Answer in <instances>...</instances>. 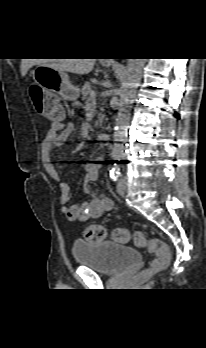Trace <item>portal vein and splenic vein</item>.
<instances>
[{
  "instance_id": "portal-vein-and-splenic-vein-1",
  "label": "portal vein and splenic vein",
  "mask_w": 206,
  "mask_h": 348,
  "mask_svg": "<svg viewBox=\"0 0 206 348\" xmlns=\"http://www.w3.org/2000/svg\"><path fill=\"white\" fill-rule=\"evenodd\" d=\"M96 95H97V92L94 91V90H92L91 93H90V96H91L92 98H95Z\"/></svg>"
}]
</instances>
